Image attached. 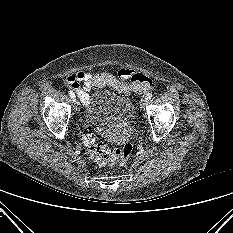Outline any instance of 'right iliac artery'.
I'll return each instance as SVG.
<instances>
[{"mask_svg":"<svg viewBox=\"0 0 233 233\" xmlns=\"http://www.w3.org/2000/svg\"><path fill=\"white\" fill-rule=\"evenodd\" d=\"M68 94L71 97V99L75 98V94L73 93V91H69Z\"/></svg>","mask_w":233,"mask_h":233,"instance_id":"right-iliac-artery-1","label":"right iliac artery"}]
</instances>
